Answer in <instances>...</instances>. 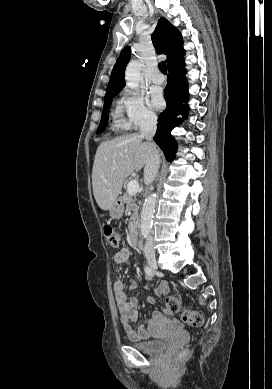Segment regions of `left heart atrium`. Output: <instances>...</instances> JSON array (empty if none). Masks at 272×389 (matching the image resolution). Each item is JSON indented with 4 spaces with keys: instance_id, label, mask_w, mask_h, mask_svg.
I'll return each mask as SVG.
<instances>
[{
    "instance_id": "left-heart-atrium-1",
    "label": "left heart atrium",
    "mask_w": 272,
    "mask_h": 389,
    "mask_svg": "<svg viewBox=\"0 0 272 389\" xmlns=\"http://www.w3.org/2000/svg\"><path fill=\"white\" fill-rule=\"evenodd\" d=\"M164 99L159 92H153L151 94V105L156 109H161L164 107Z\"/></svg>"
}]
</instances>
